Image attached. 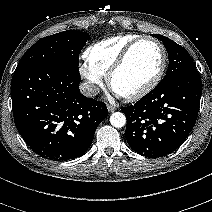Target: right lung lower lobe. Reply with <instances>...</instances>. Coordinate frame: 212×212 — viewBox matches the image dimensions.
I'll list each match as a JSON object with an SVG mask.
<instances>
[{"mask_svg":"<svg viewBox=\"0 0 212 212\" xmlns=\"http://www.w3.org/2000/svg\"><path fill=\"white\" fill-rule=\"evenodd\" d=\"M79 74L41 65L14 73L12 107L16 127L39 156L65 161L82 156L107 117L103 102L80 93Z\"/></svg>","mask_w":212,"mask_h":212,"instance_id":"right-lung-lower-lobe-1","label":"right lung lower lobe"}]
</instances>
